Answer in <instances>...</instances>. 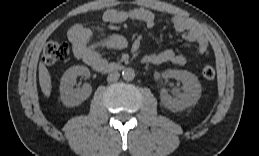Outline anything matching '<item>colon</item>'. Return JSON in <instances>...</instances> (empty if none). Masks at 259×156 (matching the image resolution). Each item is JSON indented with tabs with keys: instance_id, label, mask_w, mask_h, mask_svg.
<instances>
[{
	"instance_id": "5ec220e1",
	"label": "colon",
	"mask_w": 259,
	"mask_h": 156,
	"mask_svg": "<svg viewBox=\"0 0 259 156\" xmlns=\"http://www.w3.org/2000/svg\"><path fill=\"white\" fill-rule=\"evenodd\" d=\"M69 53V47L66 42L58 40H50L46 43L42 60L46 65H54L64 60ZM215 69L207 65L202 70V75L205 79L211 80L215 77Z\"/></svg>"
}]
</instances>
